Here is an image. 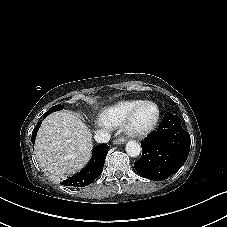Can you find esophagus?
I'll return each instance as SVG.
<instances>
[{"label":"esophagus","instance_id":"1","mask_svg":"<svg viewBox=\"0 0 227 227\" xmlns=\"http://www.w3.org/2000/svg\"><path fill=\"white\" fill-rule=\"evenodd\" d=\"M126 142V140L123 138V137H119V138H116L114 141H113V144L114 145H117V144H124Z\"/></svg>","mask_w":227,"mask_h":227}]
</instances>
